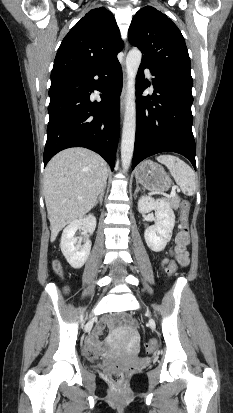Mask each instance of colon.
<instances>
[{
  "label": "colon",
  "instance_id": "colon-1",
  "mask_svg": "<svg viewBox=\"0 0 233 413\" xmlns=\"http://www.w3.org/2000/svg\"><path fill=\"white\" fill-rule=\"evenodd\" d=\"M181 210V224H180V233L188 237V231H189V203L187 201H183L180 206ZM56 268L59 269V266L56 265ZM176 270V263L175 261H172L168 268L167 272L168 274L172 275L174 274ZM157 343L154 340H150L147 345L146 349L148 352H153L156 349ZM111 378L115 382H121L124 378V372L121 370H114L111 372Z\"/></svg>",
  "mask_w": 233,
  "mask_h": 413
}]
</instances>
